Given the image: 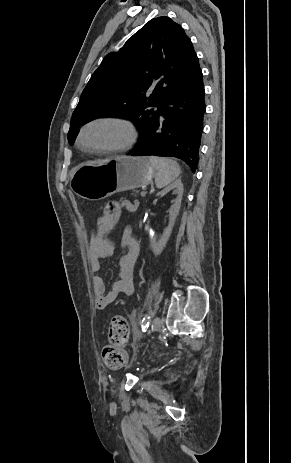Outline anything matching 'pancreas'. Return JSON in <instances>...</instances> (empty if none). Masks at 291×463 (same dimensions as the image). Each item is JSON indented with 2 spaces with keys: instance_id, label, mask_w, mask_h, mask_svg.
Masks as SVG:
<instances>
[{
  "instance_id": "cf45deb5",
  "label": "pancreas",
  "mask_w": 291,
  "mask_h": 463,
  "mask_svg": "<svg viewBox=\"0 0 291 463\" xmlns=\"http://www.w3.org/2000/svg\"><path fill=\"white\" fill-rule=\"evenodd\" d=\"M132 195H133V197H137L138 191H134V193Z\"/></svg>"
}]
</instances>
